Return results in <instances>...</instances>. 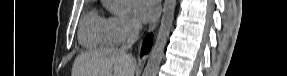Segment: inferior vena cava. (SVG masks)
Returning <instances> with one entry per match:
<instances>
[{
    "label": "inferior vena cava",
    "mask_w": 287,
    "mask_h": 76,
    "mask_svg": "<svg viewBox=\"0 0 287 76\" xmlns=\"http://www.w3.org/2000/svg\"><path fill=\"white\" fill-rule=\"evenodd\" d=\"M140 29H141V25L140 24H137V23H134L132 24L131 26V32H130V35L126 41L125 44H123L121 47H120V52L122 53H127V51L133 46V44L137 41L138 39V36H139V32H140Z\"/></svg>",
    "instance_id": "1"
}]
</instances>
